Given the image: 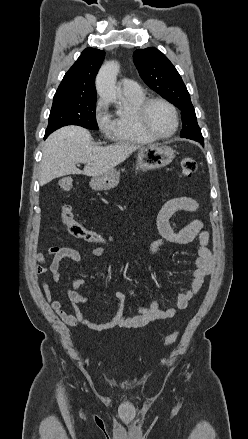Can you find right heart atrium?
Masks as SVG:
<instances>
[{
    "label": "right heart atrium",
    "instance_id": "d8ad5b80",
    "mask_svg": "<svg viewBox=\"0 0 248 439\" xmlns=\"http://www.w3.org/2000/svg\"><path fill=\"white\" fill-rule=\"evenodd\" d=\"M94 119L100 132L105 136L110 135L112 117L108 110L107 102L104 99L97 101L94 109Z\"/></svg>",
    "mask_w": 248,
    "mask_h": 439
}]
</instances>
